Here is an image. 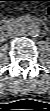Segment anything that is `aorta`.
<instances>
[{"mask_svg": "<svg viewBox=\"0 0 50 111\" xmlns=\"http://www.w3.org/2000/svg\"><path fill=\"white\" fill-rule=\"evenodd\" d=\"M27 33L29 36H38L40 34V27L38 25H30L27 28Z\"/></svg>", "mask_w": 50, "mask_h": 111, "instance_id": "1", "label": "aorta"}]
</instances>
